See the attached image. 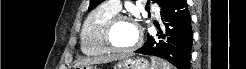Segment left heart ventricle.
Instances as JSON below:
<instances>
[{
  "label": "left heart ventricle",
  "instance_id": "b2bd125f",
  "mask_svg": "<svg viewBox=\"0 0 246 69\" xmlns=\"http://www.w3.org/2000/svg\"><path fill=\"white\" fill-rule=\"evenodd\" d=\"M137 28L131 21L119 22L111 36L112 43L119 48L132 46L137 40Z\"/></svg>",
  "mask_w": 246,
  "mask_h": 69
}]
</instances>
